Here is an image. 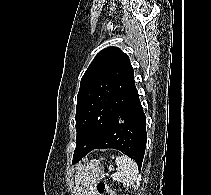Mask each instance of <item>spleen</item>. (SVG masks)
Segmentation results:
<instances>
[{
  "label": "spleen",
  "instance_id": "spleen-1",
  "mask_svg": "<svg viewBox=\"0 0 211 195\" xmlns=\"http://www.w3.org/2000/svg\"><path fill=\"white\" fill-rule=\"evenodd\" d=\"M115 163L118 171L112 175L113 180L121 182L124 186H131L138 176L137 164L126 155L117 157Z\"/></svg>",
  "mask_w": 211,
  "mask_h": 195
}]
</instances>
